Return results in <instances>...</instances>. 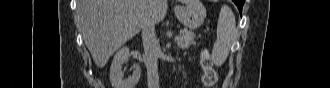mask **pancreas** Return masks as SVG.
<instances>
[{"instance_id":"obj_1","label":"pancreas","mask_w":330,"mask_h":88,"mask_svg":"<svg viewBox=\"0 0 330 88\" xmlns=\"http://www.w3.org/2000/svg\"><path fill=\"white\" fill-rule=\"evenodd\" d=\"M180 34H181V38L179 41H177V44L182 49H187L191 45L196 44L194 41L195 35L193 34L192 31L184 29L180 31Z\"/></svg>"}]
</instances>
